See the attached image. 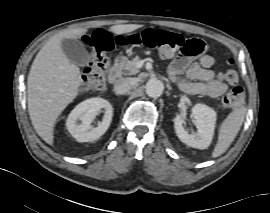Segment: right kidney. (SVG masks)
<instances>
[{
	"mask_svg": "<svg viewBox=\"0 0 270 213\" xmlns=\"http://www.w3.org/2000/svg\"><path fill=\"white\" fill-rule=\"evenodd\" d=\"M104 108L105 114L102 122L97 127L91 123L100 110ZM112 105L103 98H90L79 103L69 114L66 120V127L70 134L78 142H90L100 138L109 128L112 121ZM77 120L81 123L77 124Z\"/></svg>",
	"mask_w": 270,
	"mask_h": 213,
	"instance_id": "ca27d5eb",
	"label": "right kidney"
}]
</instances>
